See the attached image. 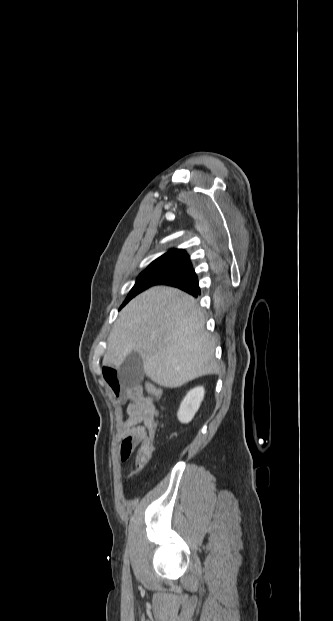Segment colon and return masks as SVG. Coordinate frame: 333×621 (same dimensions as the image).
Wrapping results in <instances>:
<instances>
[{
	"label": "colon",
	"mask_w": 333,
	"mask_h": 621,
	"mask_svg": "<svg viewBox=\"0 0 333 621\" xmlns=\"http://www.w3.org/2000/svg\"><path fill=\"white\" fill-rule=\"evenodd\" d=\"M150 392L156 401H159L162 397V390L154 383L149 384ZM157 424L148 432V434L141 438L138 443V449L136 452L135 470L133 475H136L142 471L151 459L153 453V438L156 433Z\"/></svg>",
	"instance_id": "5ec220e1"
}]
</instances>
